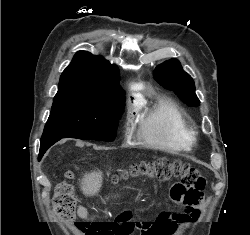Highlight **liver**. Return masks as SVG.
<instances>
[{
    "label": "liver",
    "instance_id": "6515ba94",
    "mask_svg": "<svg viewBox=\"0 0 250 235\" xmlns=\"http://www.w3.org/2000/svg\"><path fill=\"white\" fill-rule=\"evenodd\" d=\"M102 181L103 178L100 171L88 173L81 180V190L87 196L95 195L102 187Z\"/></svg>",
    "mask_w": 250,
    "mask_h": 235
}]
</instances>
